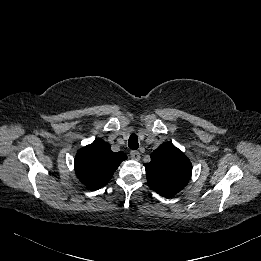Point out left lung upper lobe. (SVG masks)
<instances>
[{"instance_id": "1", "label": "left lung upper lobe", "mask_w": 261, "mask_h": 261, "mask_svg": "<svg viewBox=\"0 0 261 261\" xmlns=\"http://www.w3.org/2000/svg\"><path fill=\"white\" fill-rule=\"evenodd\" d=\"M149 186L163 197H172L190 180L192 164L172 143L161 144L145 164Z\"/></svg>"}]
</instances>
